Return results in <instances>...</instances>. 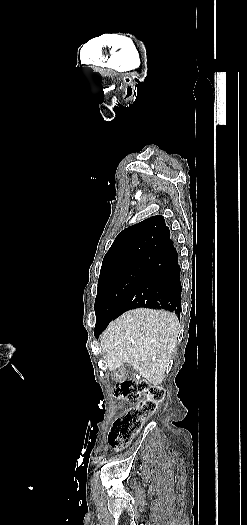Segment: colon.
<instances>
[{"instance_id":"5ec220e1","label":"colon","mask_w":247,"mask_h":525,"mask_svg":"<svg viewBox=\"0 0 247 525\" xmlns=\"http://www.w3.org/2000/svg\"><path fill=\"white\" fill-rule=\"evenodd\" d=\"M115 397L128 404L139 402L118 417L109 433V444L115 452L123 449L139 430L143 422L149 419L164 399L162 387L147 381L124 379L115 387Z\"/></svg>"}]
</instances>
